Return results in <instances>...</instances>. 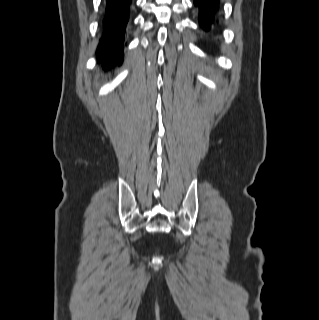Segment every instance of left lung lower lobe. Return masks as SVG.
<instances>
[{"instance_id":"obj_1","label":"left lung lower lobe","mask_w":319,"mask_h":320,"mask_svg":"<svg viewBox=\"0 0 319 320\" xmlns=\"http://www.w3.org/2000/svg\"><path fill=\"white\" fill-rule=\"evenodd\" d=\"M194 4L199 7L200 25L209 30L213 16L219 9V0H194Z\"/></svg>"}]
</instances>
